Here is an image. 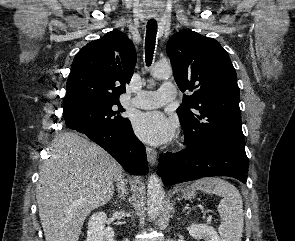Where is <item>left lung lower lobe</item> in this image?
<instances>
[{
    "label": "left lung lower lobe",
    "mask_w": 295,
    "mask_h": 241,
    "mask_svg": "<svg viewBox=\"0 0 295 241\" xmlns=\"http://www.w3.org/2000/svg\"><path fill=\"white\" fill-rule=\"evenodd\" d=\"M249 161L245 151L223 145L208 144L178 153L160 156L158 172L165 186L208 176H229L247 181Z\"/></svg>",
    "instance_id": "left-lung-lower-lobe-1"
}]
</instances>
